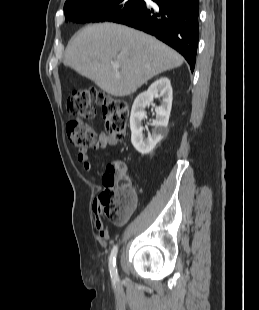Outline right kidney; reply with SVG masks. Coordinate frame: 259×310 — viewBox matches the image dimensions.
Instances as JSON below:
<instances>
[{"instance_id":"obj_1","label":"right kidney","mask_w":259,"mask_h":310,"mask_svg":"<svg viewBox=\"0 0 259 310\" xmlns=\"http://www.w3.org/2000/svg\"><path fill=\"white\" fill-rule=\"evenodd\" d=\"M155 96L161 97V105L155 108L156 120L153 122L152 134L147 138L143 135L142 120L145 119V108ZM172 87L167 77H161L150 85L147 91L135 99L130 116L131 142L134 148L142 155L150 153L167 134V125L172 107Z\"/></svg>"}]
</instances>
